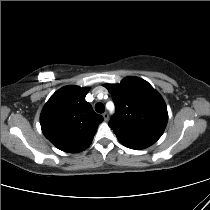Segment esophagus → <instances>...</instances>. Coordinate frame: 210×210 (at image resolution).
<instances>
[{"mask_svg": "<svg viewBox=\"0 0 210 210\" xmlns=\"http://www.w3.org/2000/svg\"><path fill=\"white\" fill-rule=\"evenodd\" d=\"M102 116H103V118H104L105 121H107L109 119V116H108V113L107 112H104L102 114Z\"/></svg>", "mask_w": 210, "mask_h": 210, "instance_id": "34e87169", "label": "esophagus"}]
</instances>
